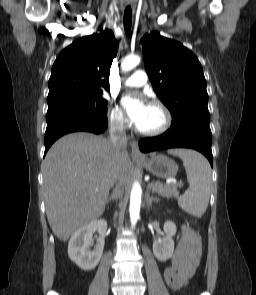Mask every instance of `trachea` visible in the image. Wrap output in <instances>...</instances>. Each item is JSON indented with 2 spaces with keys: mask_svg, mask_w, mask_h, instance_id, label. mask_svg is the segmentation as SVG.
<instances>
[{
  "mask_svg": "<svg viewBox=\"0 0 256 295\" xmlns=\"http://www.w3.org/2000/svg\"><path fill=\"white\" fill-rule=\"evenodd\" d=\"M131 24H132V10L130 6H127L124 12V29L126 34L130 32Z\"/></svg>",
  "mask_w": 256,
  "mask_h": 295,
  "instance_id": "trachea-1",
  "label": "trachea"
}]
</instances>
